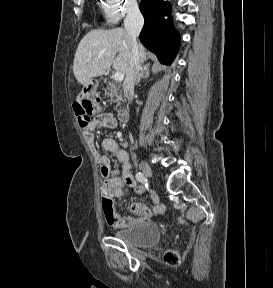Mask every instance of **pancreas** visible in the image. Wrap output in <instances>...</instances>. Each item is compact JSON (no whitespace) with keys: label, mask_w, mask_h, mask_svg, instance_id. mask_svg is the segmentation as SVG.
I'll list each match as a JSON object with an SVG mask.
<instances>
[{"label":"pancreas","mask_w":273,"mask_h":288,"mask_svg":"<svg viewBox=\"0 0 273 288\" xmlns=\"http://www.w3.org/2000/svg\"><path fill=\"white\" fill-rule=\"evenodd\" d=\"M106 94L111 98V101L117 103L118 105L122 100V95L115 83H108V92Z\"/></svg>","instance_id":"obj_1"}]
</instances>
